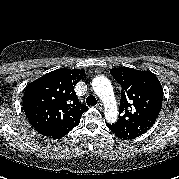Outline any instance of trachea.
Listing matches in <instances>:
<instances>
[{
	"instance_id": "1",
	"label": "trachea",
	"mask_w": 179,
	"mask_h": 179,
	"mask_svg": "<svg viewBox=\"0 0 179 179\" xmlns=\"http://www.w3.org/2000/svg\"><path fill=\"white\" fill-rule=\"evenodd\" d=\"M86 103L88 106H94L97 104V100H96L95 96L90 95L86 98Z\"/></svg>"
}]
</instances>
